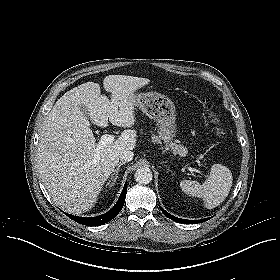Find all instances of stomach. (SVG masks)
Returning <instances> with one entry per match:
<instances>
[{
    "instance_id": "1",
    "label": "stomach",
    "mask_w": 280,
    "mask_h": 280,
    "mask_svg": "<svg viewBox=\"0 0 280 280\" xmlns=\"http://www.w3.org/2000/svg\"><path fill=\"white\" fill-rule=\"evenodd\" d=\"M136 106L158 125L159 139L170 143L176 136V110L174 103L157 92L134 94Z\"/></svg>"
}]
</instances>
